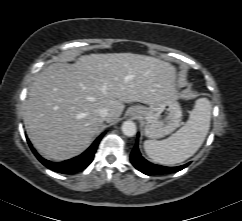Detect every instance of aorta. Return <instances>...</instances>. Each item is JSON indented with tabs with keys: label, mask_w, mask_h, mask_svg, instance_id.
Here are the masks:
<instances>
[{
	"label": "aorta",
	"mask_w": 242,
	"mask_h": 221,
	"mask_svg": "<svg viewBox=\"0 0 242 221\" xmlns=\"http://www.w3.org/2000/svg\"><path fill=\"white\" fill-rule=\"evenodd\" d=\"M122 132L128 137H133L136 134L137 128L133 121H125L122 124Z\"/></svg>",
	"instance_id": "aorta-1"
}]
</instances>
